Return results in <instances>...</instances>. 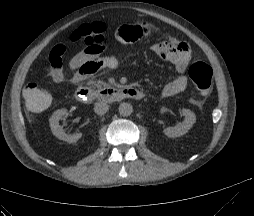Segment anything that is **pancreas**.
I'll list each match as a JSON object with an SVG mask.
<instances>
[{
	"mask_svg": "<svg viewBox=\"0 0 254 216\" xmlns=\"http://www.w3.org/2000/svg\"><path fill=\"white\" fill-rule=\"evenodd\" d=\"M88 84L91 85L92 87L98 88V89L108 86L107 83H105L103 81H100V80H98V81H89Z\"/></svg>",
	"mask_w": 254,
	"mask_h": 216,
	"instance_id": "obj_1",
	"label": "pancreas"
}]
</instances>
